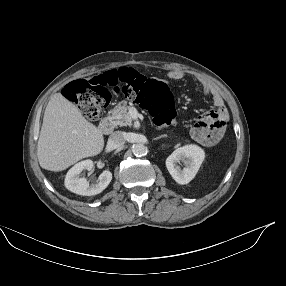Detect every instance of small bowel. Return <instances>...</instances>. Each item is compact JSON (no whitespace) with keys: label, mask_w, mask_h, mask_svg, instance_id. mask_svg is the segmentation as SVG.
Wrapping results in <instances>:
<instances>
[{"label":"small bowel","mask_w":286,"mask_h":286,"mask_svg":"<svg viewBox=\"0 0 286 286\" xmlns=\"http://www.w3.org/2000/svg\"><path fill=\"white\" fill-rule=\"evenodd\" d=\"M185 76H186V73L180 69H173L168 72V78L171 80H181ZM201 88H202V92L204 95L211 97L212 102L215 106V109L210 110V111L215 112L218 115V118L220 121L226 122V120L228 119V112L224 106V101L220 93L215 89L213 85H211L208 82H202Z\"/></svg>","instance_id":"obj_1"}]
</instances>
